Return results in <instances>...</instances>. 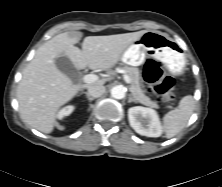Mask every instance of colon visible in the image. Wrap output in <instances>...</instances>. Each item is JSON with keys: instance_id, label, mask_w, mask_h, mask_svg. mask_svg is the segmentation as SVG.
<instances>
[{"instance_id": "obj_1", "label": "colon", "mask_w": 222, "mask_h": 187, "mask_svg": "<svg viewBox=\"0 0 222 187\" xmlns=\"http://www.w3.org/2000/svg\"><path fill=\"white\" fill-rule=\"evenodd\" d=\"M143 78L149 83L150 92L160 97L165 102L173 99L176 85L171 77H164L158 63L154 60H148L143 69Z\"/></svg>"}]
</instances>
